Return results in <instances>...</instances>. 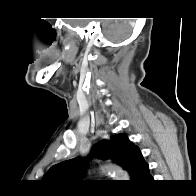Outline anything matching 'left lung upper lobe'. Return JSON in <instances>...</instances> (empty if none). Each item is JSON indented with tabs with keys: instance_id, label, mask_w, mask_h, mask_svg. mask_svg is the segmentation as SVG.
Here are the masks:
<instances>
[{
	"instance_id": "obj_1",
	"label": "left lung upper lobe",
	"mask_w": 196,
	"mask_h": 196,
	"mask_svg": "<svg viewBox=\"0 0 196 196\" xmlns=\"http://www.w3.org/2000/svg\"><path fill=\"white\" fill-rule=\"evenodd\" d=\"M92 154H97L105 160H113L127 170L134 180L135 173L141 162H144L139 148L134 145L126 134L111 137V141H100L92 149ZM86 169V161L75 158L61 162L51 167L44 175L43 181L53 184H62L77 181Z\"/></svg>"
}]
</instances>
